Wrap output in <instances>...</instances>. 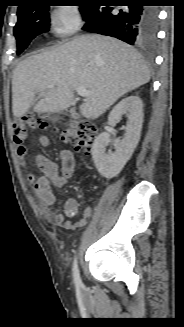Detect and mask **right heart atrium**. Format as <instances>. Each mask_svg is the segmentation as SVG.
I'll use <instances>...</instances> for the list:
<instances>
[{"label": "right heart atrium", "instance_id": "d8ad5b80", "mask_svg": "<svg viewBox=\"0 0 184 327\" xmlns=\"http://www.w3.org/2000/svg\"><path fill=\"white\" fill-rule=\"evenodd\" d=\"M83 24L80 11L74 6H66L53 11L49 25L53 32L61 36H71L78 32Z\"/></svg>", "mask_w": 184, "mask_h": 327}]
</instances>
